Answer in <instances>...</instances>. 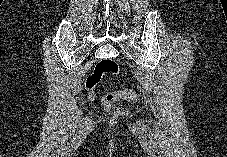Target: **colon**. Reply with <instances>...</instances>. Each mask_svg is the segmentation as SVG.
Masks as SVG:
<instances>
[{
	"mask_svg": "<svg viewBox=\"0 0 227 157\" xmlns=\"http://www.w3.org/2000/svg\"><path fill=\"white\" fill-rule=\"evenodd\" d=\"M108 74L114 76L118 74L117 64L114 61L108 59L100 60L96 64L94 71L86 79L85 86L88 90V98L90 100L94 99V90L100 82L101 78L104 75ZM137 98V94L134 90L125 88L107 93L101 99V104L107 113L112 115H121L126 113V110L124 108L116 106V102L122 100L134 102L137 100Z\"/></svg>",
	"mask_w": 227,
	"mask_h": 157,
	"instance_id": "5ec220e1",
	"label": "colon"
}]
</instances>
